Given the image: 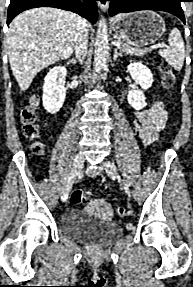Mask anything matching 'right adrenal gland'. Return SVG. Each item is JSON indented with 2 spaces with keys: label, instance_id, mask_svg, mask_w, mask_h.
Wrapping results in <instances>:
<instances>
[{
  "label": "right adrenal gland",
  "instance_id": "2a0ac1e0",
  "mask_svg": "<svg viewBox=\"0 0 193 287\" xmlns=\"http://www.w3.org/2000/svg\"><path fill=\"white\" fill-rule=\"evenodd\" d=\"M70 63H72V64H76V63H77V60H76V59H74V58H72V59L70 60Z\"/></svg>",
  "mask_w": 193,
  "mask_h": 287
}]
</instances>
